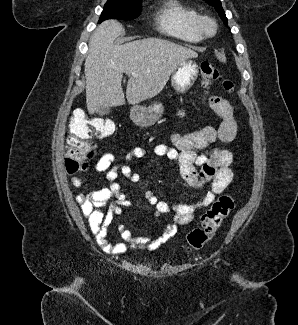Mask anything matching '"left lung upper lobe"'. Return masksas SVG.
<instances>
[{
	"label": "left lung upper lobe",
	"instance_id": "1",
	"mask_svg": "<svg viewBox=\"0 0 298 325\" xmlns=\"http://www.w3.org/2000/svg\"><path fill=\"white\" fill-rule=\"evenodd\" d=\"M209 5L215 7L217 12L219 13V16L224 21V24L227 26V18L225 16V12L221 6L220 0H205Z\"/></svg>",
	"mask_w": 298,
	"mask_h": 325
}]
</instances>
